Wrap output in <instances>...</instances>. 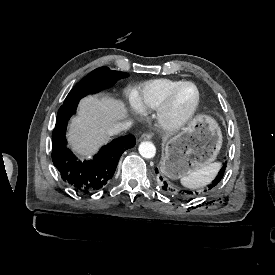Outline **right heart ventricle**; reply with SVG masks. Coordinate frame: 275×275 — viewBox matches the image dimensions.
I'll return each mask as SVG.
<instances>
[{
  "label": "right heart ventricle",
  "mask_w": 275,
  "mask_h": 275,
  "mask_svg": "<svg viewBox=\"0 0 275 275\" xmlns=\"http://www.w3.org/2000/svg\"><path fill=\"white\" fill-rule=\"evenodd\" d=\"M178 81L156 79L142 85L132 97L133 105L140 111L157 110Z\"/></svg>",
  "instance_id": "obj_1"
}]
</instances>
